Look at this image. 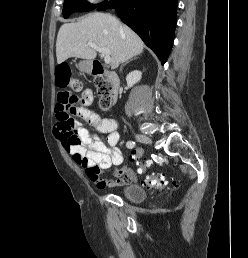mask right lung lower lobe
Instances as JSON below:
<instances>
[{
    "instance_id": "right-lung-lower-lobe-1",
    "label": "right lung lower lobe",
    "mask_w": 248,
    "mask_h": 258,
    "mask_svg": "<svg viewBox=\"0 0 248 258\" xmlns=\"http://www.w3.org/2000/svg\"><path fill=\"white\" fill-rule=\"evenodd\" d=\"M178 0H111L98 11L115 8L121 21L151 48L162 65L173 45Z\"/></svg>"
}]
</instances>
